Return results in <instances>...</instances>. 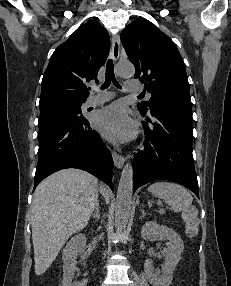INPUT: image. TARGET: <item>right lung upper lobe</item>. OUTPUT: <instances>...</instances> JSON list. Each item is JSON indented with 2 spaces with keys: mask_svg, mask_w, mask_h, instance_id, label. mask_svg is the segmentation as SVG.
I'll use <instances>...</instances> for the list:
<instances>
[{
  "mask_svg": "<svg viewBox=\"0 0 231 286\" xmlns=\"http://www.w3.org/2000/svg\"><path fill=\"white\" fill-rule=\"evenodd\" d=\"M110 49L107 30L97 21L80 26L58 46L42 79L39 106L83 101L89 92L84 82L97 80Z\"/></svg>",
  "mask_w": 231,
  "mask_h": 286,
  "instance_id": "right-lung-upper-lobe-1",
  "label": "right lung upper lobe"
}]
</instances>
